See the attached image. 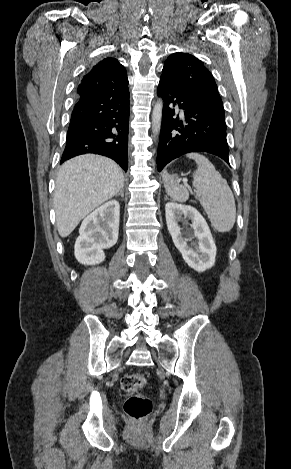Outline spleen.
<instances>
[{
	"label": "spleen",
	"instance_id": "spleen-1",
	"mask_svg": "<svg viewBox=\"0 0 291 469\" xmlns=\"http://www.w3.org/2000/svg\"><path fill=\"white\" fill-rule=\"evenodd\" d=\"M188 158L195 160L197 169L193 173L195 197L204 208L212 226L218 232H229L236 220V205L233 193L214 165L203 155L190 153ZM163 182L167 194L175 201L185 202L189 198L188 189L177 183L167 171L163 172Z\"/></svg>",
	"mask_w": 291,
	"mask_h": 469
}]
</instances>
